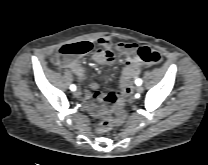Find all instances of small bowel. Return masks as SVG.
<instances>
[{
  "label": "small bowel",
  "instance_id": "obj_1",
  "mask_svg": "<svg viewBox=\"0 0 208 165\" xmlns=\"http://www.w3.org/2000/svg\"><path fill=\"white\" fill-rule=\"evenodd\" d=\"M92 46L91 42L85 41ZM97 44L101 47L94 51L93 61L97 65H110L114 61L113 49H116L122 52L126 57V67L122 73L121 79L114 80L111 83L112 90H109L106 93V96H103L99 92L94 93V97L99 101H104L107 104H117L121 100V90L122 86L127 87L130 91L131 81L139 74L140 67L142 66L141 61L138 57V46L133 43H116L106 36L99 37L96 40ZM60 66L64 69L72 70L78 80L83 81L87 77V71L85 67L80 63L78 58H73L65 61L59 62ZM98 84L94 83L90 86L91 90H96ZM85 95H89V90H85ZM95 112L101 114L105 112L104 107H96Z\"/></svg>",
  "mask_w": 208,
  "mask_h": 165
}]
</instances>
